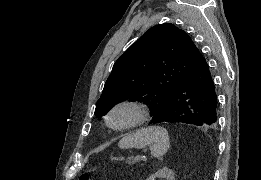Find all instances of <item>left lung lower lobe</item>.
I'll list each match as a JSON object with an SVG mask.
<instances>
[{"label": "left lung lower lobe", "mask_w": 261, "mask_h": 180, "mask_svg": "<svg viewBox=\"0 0 261 180\" xmlns=\"http://www.w3.org/2000/svg\"><path fill=\"white\" fill-rule=\"evenodd\" d=\"M218 100L209 66L199 52L171 94L166 111L151 124L182 122L206 128L217 123Z\"/></svg>", "instance_id": "obj_1"}]
</instances>
